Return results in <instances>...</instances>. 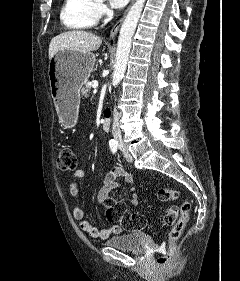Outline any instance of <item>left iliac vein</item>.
<instances>
[{
    "label": "left iliac vein",
    "instance_id": "4c4485c4",
    "mask_svg": "<svg viewBox=\"0 0 240 281\" xmlns=\"http://www.w3.org/2000/svg\"><path fill=\"white\" fill-rule=\"evenodd\" d=\"M123 155L126 159L127 162H132L133 158L131 156V154L126 150V149H122Z\"/></svg>",
    "mask_w": 240,
    "mask_h": 281
}]
</instances>
